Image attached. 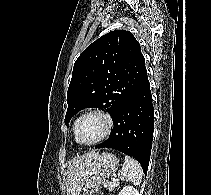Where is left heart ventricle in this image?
I'll return each mask as SVG.
<instances>
[{
  "label": "left heart ventricle",
  "instance_id": "obj_1",
  "mask_svg": "<svg viewBox=\"0 0 211 195\" xmlns=\"http://www.w3.org/2000/svg\"><path fill=\"white\" fill-rule=\"evenodd\" d=\"M105 123L97 115L86 117L79 127V139L83 142H92L96 140L104 131Z\"/></svg>",
  "mask_w": 211,
  "mask_h": 195
}]
</instances>
